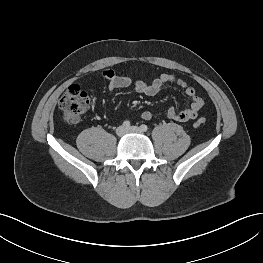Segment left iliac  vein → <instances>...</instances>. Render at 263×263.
<instances>
[{
    "instance_id": "1",
    "label": "left iliac vein",
    "mask_w": 263,
    "mask_h": 263,
    "mask_svg": "<svg viewBox=\"0 0 263 263\" xmlns=\"http://www.w3.org/2000/svg\"><path fill=\"white\" fill-rule=\"evenodd\" d=\"M127 132L142 133V130L137 126H131L127 129Z\"/></svg>"
}]
</instances>
